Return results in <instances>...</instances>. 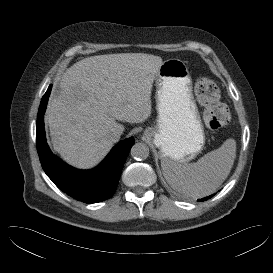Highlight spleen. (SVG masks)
Returning <instances> with one entry per match:
<instances>
[{
    "instance_id": "3e777b00",
    "label": "spleen",
    "mask_w": 273,
    "mask_h": 273,
    "mask_svg": "<svg viewBox=\"0 0 273 273\" xmlns=\"http://www.w3.org/2000/svg\"><path fill=\"white\" fill-rule=\"evenodd\" d=\"M236 157V141L227 139L197 162L175 164L161 161L167 183L178 193L192 198L212 194L228 177Z\"/></svg>"
}]
</instances>
